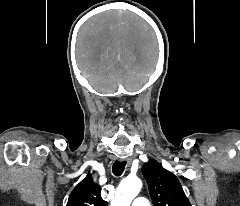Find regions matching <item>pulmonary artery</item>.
Masks as SVG:
<instances>
[{
	"label": "pulmonary artery",
	"mask_w": 240,
	"mask_h": 206,
	"mask_svg": "<svg viewBox=\"0 0 240 206\" xmlns=\"http://www.w3.org/2000/svg\"><path fill=\"white\" fill-rule=\"evenodd\" d=\"M132 206H150V203L146 198L138 197L133 201Z\"/></svg>",
	"instance_id": "pulmonary-artery-1"
}]
</instances>
